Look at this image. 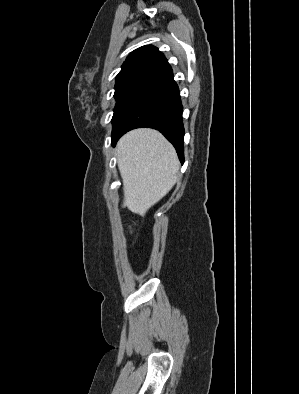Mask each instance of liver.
I'll list each match as a JSON object with an SVG mask.
<instances>
[{
  "instance_id": "liver-1",
  "label": "liver",
  "mask_w": 299,
  "mask_h": 394,
  "mask_svg": "<svg viewBox=\"0 0 299 394\" xmlns=\"http://www.w3.org/2000/svg\"><path fill=\"white\" fill-rule=\"evenodd\" d=\"M116 150L124 190L122 207L144 216L177 181L176 151L160 132L147 128L125 134Z\"/></svg>"
}]
</instances>
